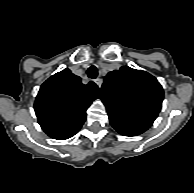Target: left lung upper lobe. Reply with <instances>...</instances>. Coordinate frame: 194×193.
<instances>
[{
	"label": "left lung upper lobe",
	"mask_w": 194,
	"mask_h": 193,
	"mask_svg": "<svg viewBox=\"0 0 194 193\" xmlns=\"http://www.w3.org/2000/svg\"><path fill=\"white\" fill-rule=\"evenodd\" d=\"M101 91L108 115L147 129L162 107L163 88L158 80L145 71L127 66L109 72Z\"/></svg>",
	"instance_id": "obj_1"
}]
</instances>
